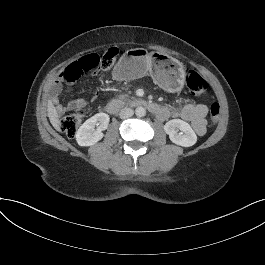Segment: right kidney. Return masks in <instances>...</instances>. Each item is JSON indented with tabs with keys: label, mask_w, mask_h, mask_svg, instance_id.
Here are the masks:
<instances>
[{
	"label": "right kidney",
	"mask_w": 265,
	"mask_h": 265,
	"mask_svg": "<svg viewBox=\"0 0 265 265\" xmlns=\"http://www.w3.org/2000/svg\"><path fill=\"white\" fill-rule=\"evenodd\" d=\"M109 122L110 117L106 113H98L86 120L75 135L78 146L90 147L101 141L104 138L102 131L108 128Z\"/></svg>",
	"instance_id": "1"
}]
</instances>
